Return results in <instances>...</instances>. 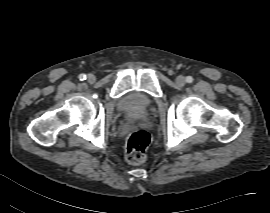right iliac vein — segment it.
Wrapping results in <instances>:
<instances>
[{"label":"right iliac vein","mask_w":270,"mask_h":213,"mask_svg":"<svg viewBox=\"0 0 270 213\" xmlns=\"http://www.w3.org/2000/svg\"><path fill=\"white\" fill-rule=\"evenodd\" d=\"M87 81L92 84L96 81V77L93 74H88L87 75Z\"/></svg>","instance_id":"obj_1"}]
</instances>
